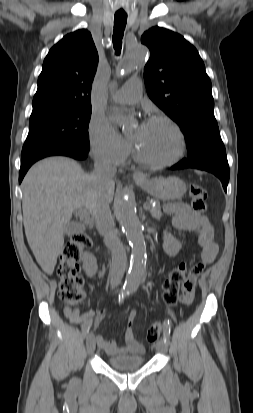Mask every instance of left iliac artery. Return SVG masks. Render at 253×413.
<instances>
[{
  "instance_id": "left-iliac-artery-1",
  "label": "left iliac artery",
  "mask_w": 253,
  "mask_h": 413,
  "mask_svg": "<svg viewBox=\"0 0 253 413\" xmlns=\"http://www.w3.org/2000/svg\"><path fill=\"white\" fill-rule=\"evenodd\" d=\"M164 325L165 327L163 331V339H164V342L168 345L170 342V331H171L169 320L165 321Z\"/></svg>"
}]
</instances>
